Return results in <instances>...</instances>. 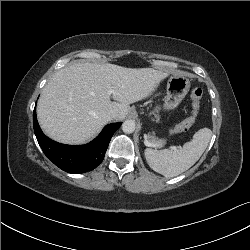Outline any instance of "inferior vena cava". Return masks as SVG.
I'll return each instance as SVG.
<instances>
[{
  "instance_id": "602c4592",
  "label": "inferior vena cava",
  "mask_w": 250,
  "mask_h": 250,
  "mask_svg": "<svg viewBox=\"0 0 250 250\" xmlns=\"http://www.w3.org/2000/svg\"><path fill=\"white\" fill-rule=\"evenodd\" d=\"M106 117H107V119L109 121L114 119L115 118V112H113V111L108 112Z\"/></svg>"
}]
</instances>
